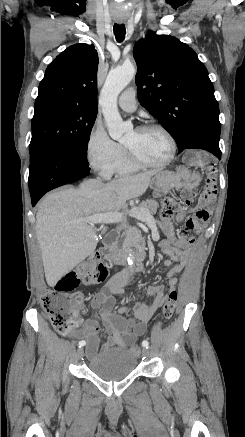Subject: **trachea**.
Listing matches in <instances>:
<instances>
[{
    "label": "trachea",
    "instance_id": "3493384b",
    "mask_svg": "<svg viewBox=\"0 0 245 437\" xmlns=\"http://www.w3.org/2000/svg\"><path fill=\"white\" fill-rule=\"evenodd\" d=\"M113 31L118 42H122L125 39L126 29L124 24H114Z\"/></svg>",
    "mask_w": 245,
    "mask_h": 437
}]
</instances>
